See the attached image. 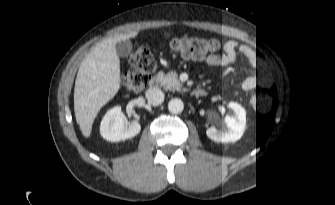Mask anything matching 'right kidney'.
Listing matches in <instances>:
<instances>
[{"label": "right kidney", "instance_id": "obj_1", "mask_svg": "<svg viewBox=\"0 0 335 205\" xmlns=\"http://www.w3.org/2000/svg\"><path fill=\"white\" fill-rule=\"evenodd\" d=\"M126 118L120 107L110 110L101 123V135L109 141H120L137 135L141 126L138 118L129 126H125Z\"/></svg>", "mask_w": 335, "mask_h": 205}]
</instances>
